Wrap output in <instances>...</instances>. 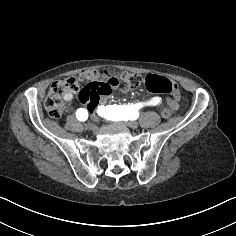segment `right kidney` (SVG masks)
Listing matches in <instances>:
<instances>
[{
  "mask_svg": "<svg viewBox=\"0 0 236 236\" xmlns=\"http://www.w3.org/2000/svg\"><path fill=\"white\" fill-rule=\"evenodd\" d=\"M64 99H65V100H70V99H72V97H71L69 94H66V95L64 96Z\"/></svg>",
  "mask_w": 236,
  "mask_h": 236,
  "instance_id": "ca27d5eb",
  "label": "right kidney"
}]
</instances>
